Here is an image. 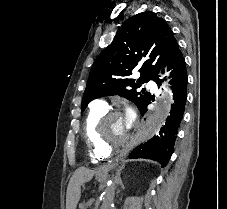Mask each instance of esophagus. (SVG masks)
Masks as SVG:
<instances>
[{
    "label": "esophagus",
    "instance_id": "1",
    "mask_svg": "<svg viewBox=\"0 0 227 209\" xmlns=\"http://www.w3.org/2000/svg\"><path fill=\"white\" fill-rule=\"evenodd\" d=\"M152 112H145V116L142 117V120H139L140 122V128L141 131L144 133L146 131L145 127L149 124V121H151ZM141 142L145 141L144 137L140 138ZM137 146L140 144L138 141L135 143ZM128 153L127 151H118V155L114 162L111 164H108L107 166H103L102 169H100V172L97 173L98 177H105L106 174H109V171H112L113 169H117L120 164H124L127 160Z\"/></svg>",
    "mask_w": 227,
    "mask_h": 209
}]
</instances>
